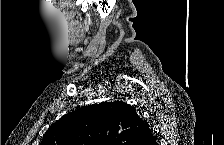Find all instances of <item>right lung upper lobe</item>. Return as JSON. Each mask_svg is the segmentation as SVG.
I'll return each mask as SVG.
<instances>
[{
    "label": "right lung upper lobe",
    "instance_id": "obj_1",
    "mask_svg": "<svg viewBox=\"0 0 224 145\" xmlns=\"http://www.w3.org/2000/svg\"><path fill=\"white\" fill-rule=\"evenodd\" d=\"M41 145H156L135 108L122 101L88 105L61 117Z\"/></svg>",
    "mask_w": 224,
    "mask_h": 145
}]
</instances>
